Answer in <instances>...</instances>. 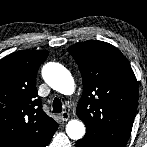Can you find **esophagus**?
<instances>
[{"label": "esophagus", "instance_id": "34e87169", "mask_svg": "<svg viewBox=\"0 0 147 147\" xmlns=\"http://www.w3.org/2000/svg\"><path fill=\"white\" fill-rule=\"evenodd\" d=\"M60 118H61L62 121H68L69 118H70V115H69L68 112L63 111V112L61 113V115H60Z\"/></svg>", "mask_w": 147, "mask_h": 147}]
</instances>
